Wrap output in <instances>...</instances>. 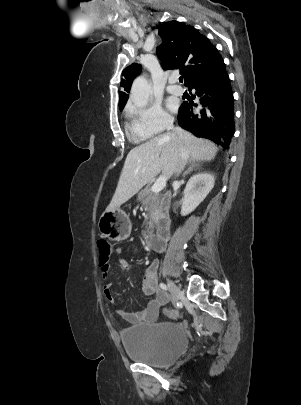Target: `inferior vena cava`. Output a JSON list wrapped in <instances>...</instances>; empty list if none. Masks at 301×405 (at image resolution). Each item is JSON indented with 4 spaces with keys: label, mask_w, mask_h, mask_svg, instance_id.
Listing matches in <instances>:
<instances>
[{
    "label": "inferior vena cava",
    "mask_w": 301,
    "mask_h": 405,
    "mask_svg": "<svg viewBox=\"0 0 301 405\" xmlns=\"http://www.w3.org/2000/svg\"><path fill=\"white\" fill-rule=\"evenodd\" d=\"M166 129L168 131H172L173 133H175L179 137V139L183 138L182 129L175 128L173 126V120H169L167 122ZM188 158H189V152H188L186 146L184 144H180L179 145V158H178L176 168H175V171H174L176 176H178L181 173V171L184 169V167H185V165H186V163L188 161Z\"/></svg>",
    "instance_id": "inferior-vena-cava-1"
}]
</instances>
